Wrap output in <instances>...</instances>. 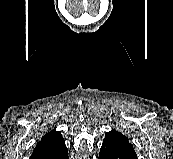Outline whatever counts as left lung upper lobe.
<instances>
[{"instance_id": "obj_1", "label": "left lung upper lobe", "mask_w": 173, "mask_h": 159, "mask_svg": "<svg viewBox=\"0 0 173 159\" xmlns=\"http://www.w3.org/2000/svg\"><path fill=\"white\" fill-rule=\"evenodd\" d=\"M103 143L111 145L119 150L136 155L133 146L128 141V138L115 130H112L105 134Z\"/></svg>"}]
</instances>
